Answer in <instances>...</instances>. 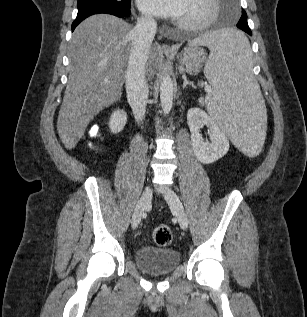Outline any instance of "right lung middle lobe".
Wrapping results in <instances>:
<instances>
[{
  "label": "right lung middle lobe",
  "mask_w": 307,
  "mask_h": 317,
  "mask_svg": "<svg viewBox=\"0 0 307 317\" xmlns=\"http://www.w3.org/2000/svg\"><path fill=\"white\" fill-rule=\"evenodd\" d=\"M89 5H103L119 9L129 6L130 0H78L77 2L78 9Z\"/></svg>",
  "instance_id": "obj_1"
}]
</instances>
